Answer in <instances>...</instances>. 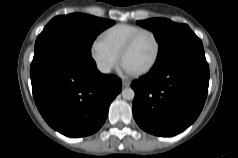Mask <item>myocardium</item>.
Returning a JSON list of instances; mask_svg holds the SVG:
<instances>
[{"label":"myocardium","mask_w":238,"mask_h":158,"mask_svg":"<svg viewBox=\"0 0 238 158\" xmlns=\"http://www.w3.org/2000/svg\"><path fill=\"white\" fill-rule=\"evenodd\" d=\"M144 34H149L152 36V38L155 41L156 44V52L154 55V58L152 59V61L143 69H140L138 71H134L132 73L136 74V75H142V74H146L149 71H151L155 65L157 64L159 58H160V54H161V43L160 40L157 36V34L151 30L148 29H142L138 32H136L128 41L127 43L124 45L123 49L120 52V60L121 63L124 65V58L127 55V53L134 47V45L136 44V42L138 41V39L144 35Z\"/></svg>","instance_id":"myocardium-1"}]
</instances>
